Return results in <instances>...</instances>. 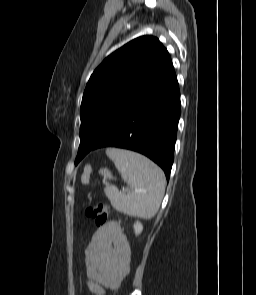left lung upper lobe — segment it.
<instances>
[{
	"mask_svg": "<svg viewBox=\"0 0 256 295\" xmlns=\"http://www.w3.org/2000/svg\"><path fill=\"white\" fill-rule=\"evenodd\" d=\"M175 76L170 55L153 36L138 37L109 55L93 72L80 107V146L90 150L131 110Z\"/></svg>",
	"mask_w": 256,
	"mask_h": 295,
	"instance_id": "left-lung-upper-lobe-1",
	"label": "left lung upper lobe"
}]
</instances>
